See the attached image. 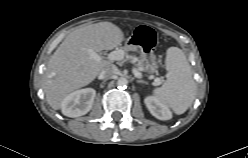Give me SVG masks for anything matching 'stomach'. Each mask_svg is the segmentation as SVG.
Listing matches in <instances>:
<instances>
[{
	"label": "stomach",
	"mask_w": 248,
	"mask_h": 158,
	"mask_svg": "<svg viewBox=\"0 0 248 158\" xmlns=\"http://www.w3.org/2000/svg\"><path fill=\"white\" fill-rule=\"evenodd\" d=\"M141 60L144 62L145 71L149 73L156 72L158 65L153 52L145 53L142 51Z\"/></svg>",
	"instance_id": "stomach-1"
}]
</instances>
